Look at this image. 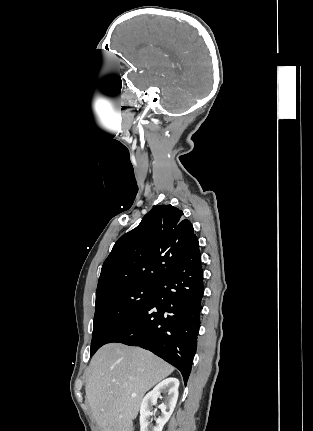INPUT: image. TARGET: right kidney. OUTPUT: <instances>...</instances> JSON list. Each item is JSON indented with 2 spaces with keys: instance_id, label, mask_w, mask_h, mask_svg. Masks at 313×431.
<instances>
[{
  "instance_id": "right-kidney-1",
  "label": "right kidney",
  "mask_w": 313,
  "mask_h": 431,
  "mask_svg": "<svg viewBox=\"0 0 313 431\" xmlns=\"http://www.w3.org/2000/svg\"><path fill=\"white\" fill-rule=\"evenodd\" d=\"M178 387L179 381L176 378H167L146 394L140 406V431H162L176 406ZM161 392L166 393L165 401L158 406L161 410V415L155 420L156 425L152 426L150 425L149 417L153 415L152 406L157 404V399L160 397Z\"/></svg>"
}]
</instances>
